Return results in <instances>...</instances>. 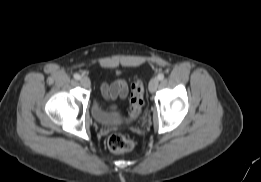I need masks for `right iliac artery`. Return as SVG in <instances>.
Listing matches in <instances>:
<instances>
[{"label":"right iliac artery","instance_id":"82829eb1","mask_svg":"<svg viewBox=\"0 0 261 182\" xmlns=\"http://www.w3.org/2000/svg\"><path fill=\"white\" fill-rule=\"evenodd\" d=\"M74 78H75L76 80H79V79L81 78V76H80L79 74H74Z\"/></svg>","mask_w":261,"mask_h":182}]
</instances>
